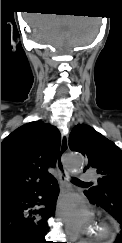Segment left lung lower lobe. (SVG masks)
<instances>
[{"mask_svg":"<svg viewBox=\"0 0 122 243\" xmlns=\"http://www.w3.org/2000/svg\"><path fill=\"white\" fill-rule=\"evenodd\" d=\"M109 190L111 192V195L113 197V200H115V199L121 200L122 199V183L119 182V183H115V184L111 185V187L109 188ZM89 201L91 203H93V204H96V205L104 208L106 211H109L106 208V206H105V204L103 202H99V201L93 200L91 198H89ZM114 243H122V224H121L120 234L117 235L116 241Z\"/></svg>","mask_w":122,"mask_h":243,"instance_id":"obj_1","label":"left lung lower lobe"}]
</instances>
